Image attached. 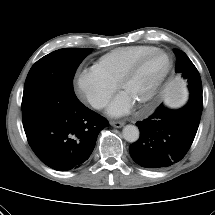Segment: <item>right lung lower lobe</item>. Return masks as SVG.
I'll return each mask as SVG.
<instances>
[{
    "mask_svg": "<svg viewBox=\"0 0 215 215\" xmlns=\"http://www.w3.org/2000/svg\"><path fill=\"white\" fill-rule=\"evenodd\" d=\"M108 121L80 101L63 105L25 130L37 157L57 171L80 167L91 155Z\"/></svg>",
    "mask_w": 215,
    "mask_h": 215,
    "instance_id": "1",
    "label": "right lung lower lobe"
}]
</instances>
